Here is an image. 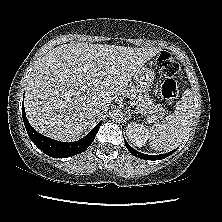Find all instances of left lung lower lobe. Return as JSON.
I'll return each instance as SVG.
<instances>
[{
	"label": "left lung lower lobe",
	"instance_id": "0a47b994",
	"mask_svg": "<svg viewBox=\"0 0 222 222\" xmlns=\"http://www.w3.org/2000/svg\"><path fill=\"white\" fill-rule=\"evenodd\" d=\"M125 145L127 147V149L136 157H139L141 159H146V160H160V159H163V158H166L168 157L169 155H171L172 153H174L176 151L173 150L171 152H168V153H165V154H161V155H147V154H143V153H140L138 151H136L135 149H133L128 143L127 141L125 140Z\"/></svg>",
	"mask_w": 222,
	"mask_h": 222
}]
</instances>
